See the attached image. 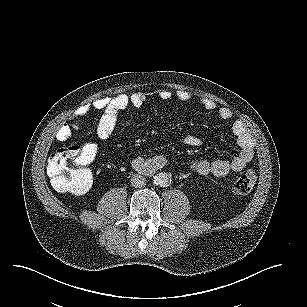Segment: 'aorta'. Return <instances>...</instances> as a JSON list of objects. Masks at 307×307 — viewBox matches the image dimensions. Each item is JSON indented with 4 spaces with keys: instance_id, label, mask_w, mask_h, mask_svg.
<instances>
[{
    "instance_id": "obj_1",
    "label": "aorta",
    "mask_w": 307,
    "mask_h": 307,
    "mask_svg": "<svg viewBox=\"0 0 307 307\" xmlns=\"http://www.w3.org/2000/svg\"><path fill=\"white\" fill-rule=\"evenodd\" d=\"M154 184L160 187H167L170 184V178L166 173H159L154 176Z\"/></svg>"
}]
</instances>
